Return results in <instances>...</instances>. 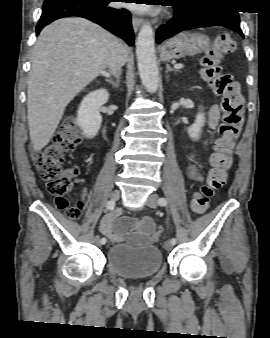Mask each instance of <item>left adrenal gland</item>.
I'll list each match as a JSON object with an SVG mask.
<instances>
[{
  "label": "left adrenal gland",
  "mask_w": 270,
  "mask_h": 338,
  "mask_svg": "<svg viewBox=\"0 0 270 338\" xmlns=\"http://www.w3.org/2000/svg\"><path fill=\"white\" fill-rule=\"evenodd\" d=\"M169 71H174V69H172L169 64H166V73Z\"/></svg>",
  "instance_id": "left-adrenal-gland-1"
}]
</instances>
